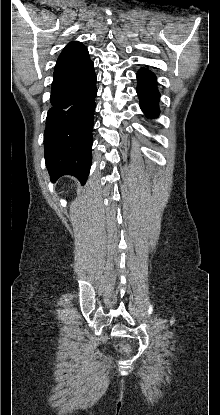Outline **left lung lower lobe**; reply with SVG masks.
<instances>
[{"mask_svg": "<svg viewBox=\"0 0 220 415\" xmlns=\"http://www.w3.org/2000/svg\"><path fill=\"white\" fill-rule=\"evenodd\" d=\"M137 93L140 99V107L148 117L159 115V91L156 76L147 68H141L137 73Z\"/></svg>", "mask_w": 220, "mask_h": 415, "instance_id": "left-lung-lower-lobe-1", "label": "left lung lower lobe"}]
</instances>
